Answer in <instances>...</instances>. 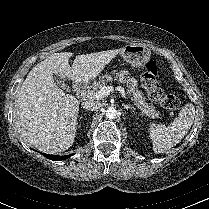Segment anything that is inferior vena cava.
I'll list each match as a JSON object with an SVG mask.
<instances>
[{
	"label": "inferior vena cava",
	"instance_id": "602c4592",
	"mask_svg": "<svg viewBox=\"0 0 209 209\" xmlns=\"http://www.w3.org/2000/svg\"><path fill=\"white\" fill-rule=\"evenodd\" d=\"M82 107L90 111H97L101 106L99 103L95 102H83Z\"/></svg>",
	"mask_w": 209,
	"mask_h": 209
}]
</instances>
